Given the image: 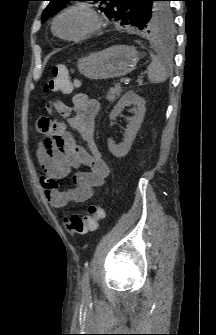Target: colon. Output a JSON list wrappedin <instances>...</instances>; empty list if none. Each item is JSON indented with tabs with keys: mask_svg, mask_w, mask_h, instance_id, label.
<instances>
[{
	"mask_svg": "<svg viewBox=\"0 0 216 335\" xmlns=\"http://www.w3.org/2000/svg\"><path fill=\"white\" fill-rule=\"evenodd\" d=\"M70 68L65 65H56L51 71V77L46 84V89L54 92H70L73 84L70 77ZM104 217V211L98 201L88 206L84 215L72 214L64 218L66 229L71 235L80 236L95 231L100 220Z\"/></svg>",
	"mask_w": 216,
	"mask_h": 335,
	"instance_id": "obj_1",
	"label": "colon"
}]
</instances>
